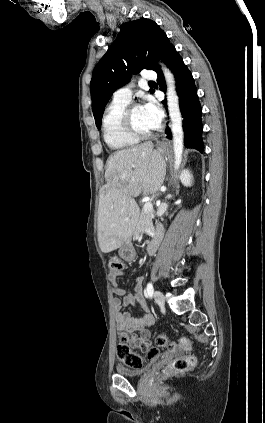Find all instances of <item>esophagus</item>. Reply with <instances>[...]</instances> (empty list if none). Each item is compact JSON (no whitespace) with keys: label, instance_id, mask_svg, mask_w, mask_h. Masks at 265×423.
<instances>
[{"label":"esophagus","instance_id":"1","mask_svg":"<svg viewBox=\"0 0 265 423\" xmlns=\"http://www.w3.org/2000/svg\"><path fill=\"white\" fill-rule=\"evenodd\" d=\"M160 143H161V145H163L164 144V141L162 140Z\"/></svg>","mask_w":265,"mask_h":423}]
</instances>
